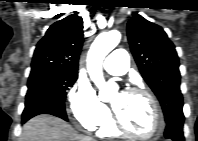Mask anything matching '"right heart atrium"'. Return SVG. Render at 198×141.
Instances as JSON below:
<instances>
[{"label":"right heart atrium","instance_id":"obj_1","mask_svg":"<svg viewBox=\"0 0 198 141\" xmlns=\"http://www.w3.org/2000/svg\"><path fill=\"white\" fill-rule=\"evenodd\" d=\"M68 111L80 126L93 130L110 119V113L91 85L78 80L67 95Z\"/></svg>","mask_w":198,"mask_h":141}]
</instances>
